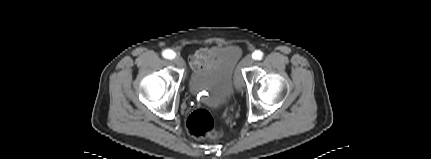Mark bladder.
<instances>
[{
    "mask_svg": "<svg viewBox=\"0 0 431 159\" xmlns=\"http://www.w3.org/2000/svg\"><path fill=\"white\" fill-rule=\"evenodd\" d=\"M240 57L237 46L217 48L212 63L191 73L188 80L191 95L208 107H224L234 94V72Z\"/></svg>",
    "mask_w": 431,
    "mask_h": 159,
    "instance_id": "1",
    "label": "bladder"
}]
</instances>
